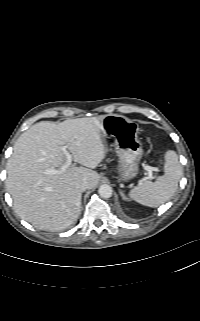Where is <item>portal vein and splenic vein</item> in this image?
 <instances>
[{
	"label": "portal vein and splenic vein",
	"instance_id": "portal-vein-and-splenic-vein-1",
	"mask_svg": "<svg viewBox=\"0 0 200 321\" xmlns=\"http://www.w3.org/2000/svg\"><path fill=\"white\" fill-rule=\"evenodd\" d=\"M61 149L67 159L65 164L62 166V170H65L67 167L71 165L73 156L67 151L66 146H63ZM144 169L148 172V178L153 179L152 172L155 170V168L148 165H144ZM57 172L58 171L55 169H46L44 173L51 175V174H56Z\"/></svg>",
	"mask_w": 200,
	"mask_h": 321
}]
</instances>
